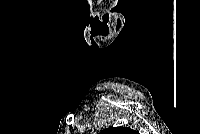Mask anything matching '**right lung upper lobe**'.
Returning <instances> with one entry per match:
<instances>
[{
  "mask_svg": "<svg viewBox=\"0 0 200 134\" xmlns=\"http://www.w3.org/2000/svg\"><path fill=\"white\" fill-rule=\"evenodd\" d=\"M102 133H105V134H131V133H135V132L133 130H131L130 128L115 127V128H108V129L104 130Z\"/></svg>",
  "mask_w": 200,
  "mask_h": 134,
  "instance_id": "1",
  "label": "right lung upper lobe"
}]
</instances>
